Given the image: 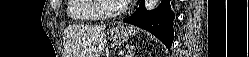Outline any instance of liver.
Masks as SVG:
<instances>
[{
	"mask_svg": "<svg viewBox=\"0 0 249 57\" xmlns=\"http://www.w3.org/2000/svg\"><path fill=\"white\" fill-rule=\"evenodd\" d=\"M105 25L67 27L65 35L73 57H99L106 47Z\"/></svg>",
	"mask_w": 249,
	"mask_h": 57,
	"instance_id": "6515ba94",
	"label": "liver"
}]
</instances>
